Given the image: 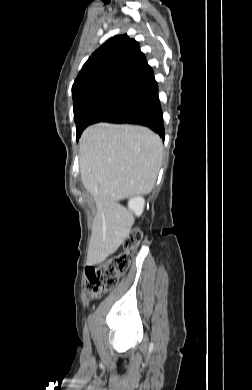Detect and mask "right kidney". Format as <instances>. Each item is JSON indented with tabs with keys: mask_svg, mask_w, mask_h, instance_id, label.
Masks as SVG:
<instances>
[{
	"mask_svg": "<svg viewBox=\"0 0 252 390\" xmlns=\"http://www.w3.org/2000/svg\"><path fill=\"white\" fill-rule=\"evenodd\" d=\"M145 200L141 196L133 197L128 202V207L135 213L136 216H140L144 210Z\"/></svg>",
	"mask_w": 252,
	"mask_h": 390,
	"instance_id": "1",
	"label": "right kidney"
}]
</instances>
